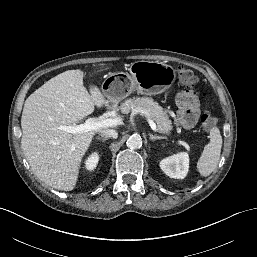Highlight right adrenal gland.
Here are the masks:
<instances>
[{"instance_id":"right-adrenal-gland-1","label":"right adrenal gland","mask_w":257,"mask_h":257,"mask_svg":"<svg viewBox=\"0 0 257 257\" xmlns=\"http://www.w3.org/2000/svg\"><path fill=\"white\" fill-rule=\"evenodd\" d=\"M98 139L104 142L108 139V137L102 135L101 137H98Z\"/></svg>"}]
</instances>
